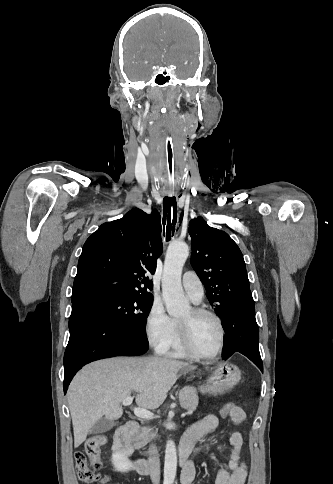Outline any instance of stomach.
Masks as SVG:
<instances>
[{
    "label": "stomach",
    "instance_id": "stomach-1",
    "mask_svg": "<svg viewBox=\"0 0 333 484\" xmlns=\"http://www.w3.org/2000/svg\"><path fill=\"white\" fill-rule=\"evenodd\" d=\"M241 379L240 369L230 362H221L207 373L202 391L213 396L229 392Z\"/></svg>",
    "mask_w": 333,
    "mask_h": 484
}]
</instances>
